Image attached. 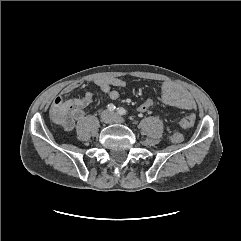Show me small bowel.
<instances>
[{"instance_id": "small-bowel-1", "label": "small bowel", "mask_w": 241, "mask_h": 241, "mask_svg": "<svg viewBox=\"0 0 241 241\" xmlns=\"http://www.w3.org/2000/svg\"><path fill=\"white\" fill-rule=\"evenodd\" d=\"M94 83L112 100H116L119 97V92L114 87L121 88L126 85L125 80L115 77L97 78L94 80ZM80 85L81 82L70 83L63 88L62 94H70L79 88ZM160 100L168 106L181 110H194L196 108V102L190 92L184 87L168 80L161 82ZM93 101L94 94L87 92L83 97L73 98L65 103L72 107L73 118L80 120L84 116V108L91 105ZM72 126L73 124L67 127L66 130H70Z\"/></svg>"}]
</instances>
